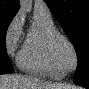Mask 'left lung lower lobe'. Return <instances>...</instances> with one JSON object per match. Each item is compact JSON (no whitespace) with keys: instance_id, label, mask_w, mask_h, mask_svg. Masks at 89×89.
<instances>
[{"instance_id":"0a47b994","label":"left lung lower lobe","mask_w":89,"mask_h":89,"mask_svg":"<svg viewBox=\"0 0 89 89\" xmlns=\"http://www.w3.org/2000/svg\"><path fill=\"white\" fill-rule=\"evenodd\" d=\"M74 83L89 89V80H87V79L76 80V81H74Z\"/></svg>"}]
</instances>
